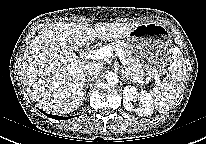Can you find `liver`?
<instances>
[{
  "label": "liver",
  "mask_w": 206,
  "mask_h": 144,
  "mask_svg": "<svg viewBox=\"0 0 206 144\" xmlns=\"http://www.w3.org/2000/svg\"><path fill=\"white\" fill-rule=\"evenodd\" d=\"M138 24L87 22L57 23L44 28L26 48L22 82L31 99L44 111L67 114L82 105L87 66L72 49L101 40L125 38ZM101 65V64H100Z\"/></svg>",
  "instance_id": "obj_1"
}]
</instances>
